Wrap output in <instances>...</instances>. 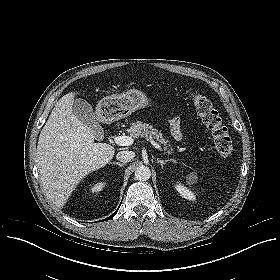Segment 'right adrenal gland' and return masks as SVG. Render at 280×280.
Returning <instances> with one entry per match:
<instances>
[{
	"label": "right adrenal gland",
	"mask_w": 280,
	"mask_h": 280,
	"mask_svg": "<svg viewBox=\"0 0 280 280\" xmlns=\"http://www.w3.org/2000/svg\"><path fill=\"white\" fill-rule=\"evenodd\" d=\"M113 164H116V165H118V166H120V167H122L123 165H124V163H120V162H112Z\"/></svg>",
	"instance_id": "right-adrenal-gland-1"
}]
</instances>
